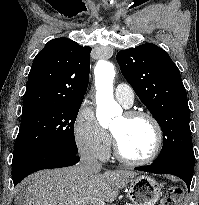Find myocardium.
Masks as SVG:
<instances>
[{
    "label": "myocardium",
    "instance_id": "f54148a6",
    "mask_svg": "<svg viewBox=\"0 0 199 205\" xmlns=\"http://www.w3.org/2000/svg\"><path fill=\"white\" fill-rule=\"evenodd\" d=\"M124 115L126 118H130V119L145 118L146 120H148L154 131V145H153L151 152L146 157L130 158V157H127L122 152L119 146V143L117 141V138L115 134L112 132L115 156L117 157L118 160L128 165L139 166V165H145V164L151 163L158 157L162 149V146H163V129H162L161 124L155 118L154 115H152L150 112L145 111V110H128L124 113Z\"/></svg>",
    "mask_w": 199,
    "mask_h": 205
}]
</instances>
